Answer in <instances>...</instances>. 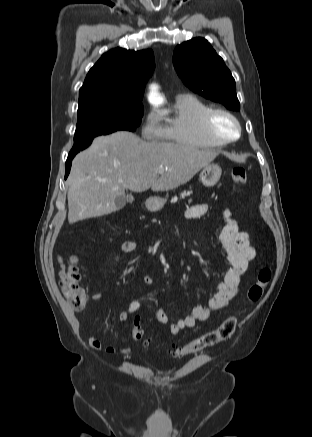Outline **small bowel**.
I'll use <instances>...</instances> for the list:
<instances>
[{
    "label": "small bowel",
    "instance_id": "small-bowel-1",
    "mask_svg": "<svg viewBox=\"0 0 312 437\" xmlns=\"http://www.w3.org/2000/svg\"><path fill=\"white\" fill-rule=\"evenodd\" d=\"M208 211V205L197 204L191 206L187 211V216L192 219L204 216ZM224 226L220 232L219 240L224 248L230 268L226 271L222 282L219 283L216 292L210 298L208 305H196L192 308L191 313L179 318L170 327V333L177 335L185 328H192L197 321L207 320L211 313L216 310L223 309L228 306L231 300L237 295L242 277L249 269L251 261L257 256V251L252 244L250 235L241 231L239 223L233 215L231 208L226 207L223 212ZM137 244L134 241L126 240L122 243L121 249L125 253L133 252L137 249ZM143 284L151 286L154 280L151 276L146 275L142 279ZM142 304L139 301H130L126 309L122 310L115 320L118 318L123 322L128 321L129 313H141ZM156 316L161 323L168 322V316L162 307H156ZM88 343L91 347L97 350H103L113 354L120 352L128 354L130 349L126 346L106 345L101 340L90 336Z\"/></svg>",
    "mask_w": 312,
    "mask_h": 437
}]
</instances>
